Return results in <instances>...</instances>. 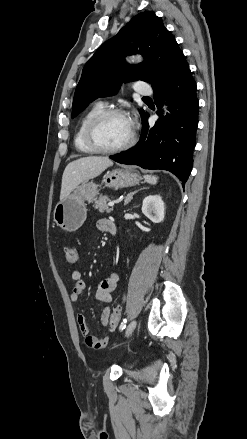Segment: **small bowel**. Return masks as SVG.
<instances>
[{
    "instance_id": "1",
    "label": "small bowel",
    "mask_w": 247,
    "mask_h": 439,
    "mask_svg": "<svg viewBox=\"0 0 247 439\" xmlns=\"http://www.w3.org/2000/svg\"><path fill=\"white\" fill-rule=\"evenodd\" d=\"M111 222L112 221L107 219H101L97 222V228L102 232H109ZM71 278L74 282V286L70 294V298L73 302H77L86 288V283L82 279L81 271L78 269H74L72 271ZM117 282L118 275L116 273H112L109 277L103 279L97 287L96 298L99 301L110 303L112 301V292L115 290ZM111 311L112 310L109 307L102 311L100 321L103 325H107L109 323ZM76 319L79 331L84 338V342L87 347L94 350H100L107 346L109 342L108 337L98 338L89 334L86 318L83 313H78Z\"/></svg>"
}]
</instances>
